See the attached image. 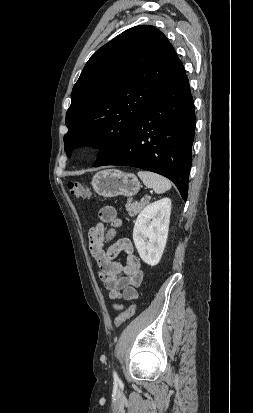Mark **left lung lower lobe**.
Returning <instances> with one entry per match:
<instances>
[{"label":"left lung lower lobe","instance_id":"obj_1","mask_svg":"<svg viewBox=\"0 0 253 413\" xmlns=\"http://www.w3.org/2000/svg\"><path fill=\"white\" fill-rule=\"evenodd\" d=\"M195 124L189 82L178 59L124 145L102 165L132 166L161 174L177 186L186 201Z\"/></svg>","mask_w":253,"mask_h":413}]
</instances>
